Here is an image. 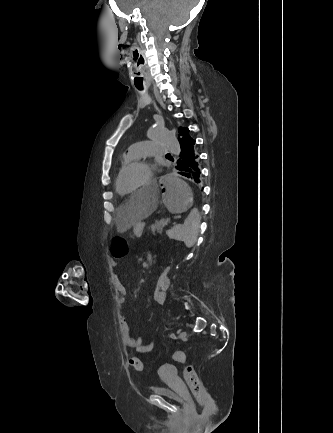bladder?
<instances>
[{
    "mask_svg": "<svg viewBox=\"0 0 333 433\" xmlns=\"http://www.w3.org/2000/svg\"><path fill=\"white\" fill-rule=\"evenodd\" d=\"M152 391H153V393H155L161 397L167 398L171 401L181 402V401L185 400V397L182 394H180V393H178V392H176V391H174V390H172L166 386H161V385L153 386Z\"/></svg>",
    "mask_w": 333,
    "mask_h": 433,
    "instance_id": "bladder-1",
    "label": "bladder"
}]
</instances>
